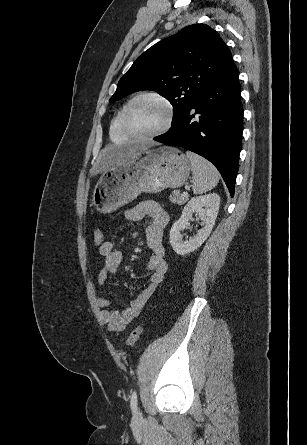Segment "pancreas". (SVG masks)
I'll return each mask as SVG.
<instances>
[{"label": "pancreas", "instance_id": "obj_1", "mask_svg": "<svg viewBox=\"0 0 307 445\" xmlns=\"http://www.w3.org/2000/svg\"><path fill=\"white\" fill-rule=\"evenodd\" d=\"M188 198L189 196H183L180 190H173L170 194V200L171 202H174V204H184Z\"/></svg>", "mask_w": 307, "mask_h": 445}]
</instances>
